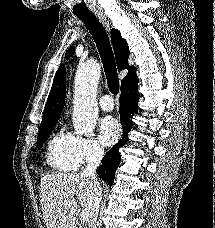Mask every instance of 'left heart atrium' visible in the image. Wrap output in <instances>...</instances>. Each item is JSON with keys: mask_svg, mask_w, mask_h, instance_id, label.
<instances>
[{"mask_svg": "<svg viewBox=\"0 0 215 228\" xmlns=\"http://www.w3.org/2000/svg\"><path fill=\"white\" fill-rule=\"evenodd\" d=\"M100 135L106 144L114 143L121 134L119 122L113 116H106L100 122Z\"/></svg>", "mask_w": 215, "mask_h": 228, "instance_id": "left-heart-atrium-1", "label": "left heart atrium"}]
</instances>
